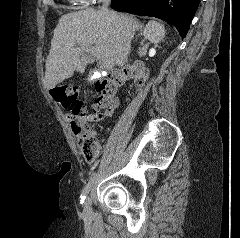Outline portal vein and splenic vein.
Here are the masks:
<instances>
[{"instance_id": "18ae733b", "label": "portal vein and splenic vein", "mask_w": 240, "mask_h": 238, "mask_svg": "<svg viewBox=\"0 0 240 238\" xmlns=\"http://www.w3.org/2000/svg\"><path fill=\"white\" fill-rule=\"evenodd\" d=\"M87 52L93 53L102 63L103 67L105 68H111L113 66V63L110 62L99 50L96 48H90L87 49Z\"/></svg>"}]
</instances>
